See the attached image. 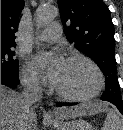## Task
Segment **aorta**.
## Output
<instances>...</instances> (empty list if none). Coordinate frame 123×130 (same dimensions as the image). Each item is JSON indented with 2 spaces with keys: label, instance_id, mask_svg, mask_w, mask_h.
<instances>
[{
  "label": "aorta",
  "instance_id": "762f6f07",
  "mask_svg": "<svg viewBox=\"0 0 123 130\" xmlns=\"http://www.w3.org/2000/svg\"><path fill=\"white\" fill-rule=\"evenodd\" d=\"M58 14V9L53 6H40L35 12V19L38 26H45L50 23Z\"/></svg>",
  "mask_w": 123,
  "mask_h": 130
}]
</instances>
